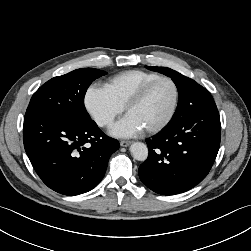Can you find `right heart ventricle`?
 <instances>
[{"mask_svg":"<svg viewBox=\"0 0 251 251\" xmlns=\"http://www.w3.org/2000/svg\"><path fill=\"white\" fill-rule=\"evenodd\" d=\"M160 76L145 70H127L110 77L104 88L123 107L136 91L146 82Z\"/></svg>","mask_w":251,"mask_h":251,"instance_id":"e07e8e85","label":"right heart ventricle"}]
</instances>
